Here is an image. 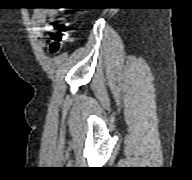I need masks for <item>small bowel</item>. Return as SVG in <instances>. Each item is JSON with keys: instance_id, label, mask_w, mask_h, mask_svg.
I'll list each match as a JSON object with an SVG mask.
<instances>
[{"instance_id": "obj_1", "label": "small bowel", "mask_w": 192, "mask_h": 180, "mask_svg": "<svg viewBox=\"0 0 192 180\" xmlns=\"http://www.w3.org/2000/svg\"><path fill=\"white\" fill-rule=\"evenodd\" d=\"M56 15L57 11L55 9H41L34 11L32 14V24L34 25L37 33L42 34L45 30H47L48 18L52 20ZM40 43L43 44V41Z\"/></svg>"}]
</instances>
